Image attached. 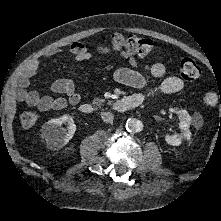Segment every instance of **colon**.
<instances>
[{
  "mask_svg": "<svg viewBox=\"0 0 221 221\" xmlns=\"http://www.w3.org/2000/svg\"><path fill=\"white\" fill-rule=\"evenodd\" d=\"M106 44L104 50L122 51L128 54H136L146 56L153 54L156 47L153 42L147 38L137 36H124L122 34H113L110 37L103 38ZM180 74L188 81H194L200 77L201 69L193 59H184L180 64ZM202 103L207 107L221 104V96L219 97L213 90L207 89L202 94ZM39 114L33 110L23 111L20 115V123L22 127L29 129L37 125L39 122Z\"/></svg>",
  "mask_w": 221,
  "mask_h": 221,
  "instance_id": "1",
  "label": "colon"
}]
</instances>
